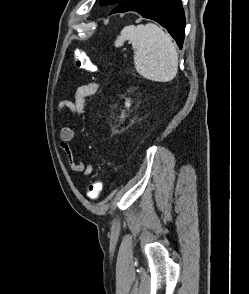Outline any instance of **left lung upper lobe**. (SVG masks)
I'll return each mask as SVG.
<instances>
[{
	"label": "left lung upper lobe",
	"mask_w": 249,
	"mask_h": 294,
	"mask_svg": "<svg viewBox=\"0 0 249 294\" xmlns=\"http://www.w3.org/2000/svg\"><path fill=\"white\" fill-rule=\"evenodd\" d=\"M124 0H101L100 4L101 5H108V4H115V3H121Z\"/></svg>",
	"instance_id": "obj_1"
}]
</instances>
